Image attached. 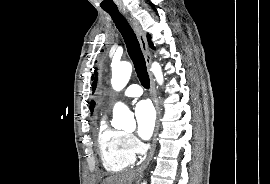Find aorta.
I'll return each instance as SVG.
<instances>
[{"mask_svg": "<svg viewBox=\"0 0 270 184\" xmlns=\"http://www.w3.org/2000/svg\"><path fill=\"white\" fill-rule=\"evenodd\" d=\"M157 82L163 83V73L161 66L154 62L151 66ZM132 73V65L129 62H121L112 66V79L111 84L114 90H122L128 83ZM112 124L117 129L134 130L136 122L133 113L123 103H116L113 108V121ZM143 184H146L145 182Z\"/></svg>", "mask_w": 270, "mask_h": 184, "instance_id": "762f6f07", "label": "aorta"}]
</instances>
